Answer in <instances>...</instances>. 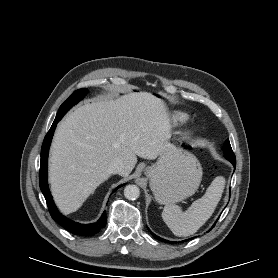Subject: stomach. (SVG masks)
Returning <instances> with one entry per match:
<instances>
[{"instance_id": "0dacf381", "label": "stomach", "mask_w": 278, "mask_h": 278, "mask_svg": "<svg viewBox=\"0 0 278 278\" xmlns=\"http://www.w3.org/2000/svg\"><path fill=\"white\" fill-rule=\"evenodd\" d=\"M160 204H174L192 196L202 180L198 159L185 147L167 144L158 161L145 169Z\"/></svg>"}]
</instances>
